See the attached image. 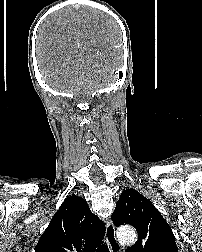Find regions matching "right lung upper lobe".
Listing matches in <instances>:
<instances>
[{
  "label": "right lung upper lobe",
  "mask_w": 202,
  "mask_h": 252,
  "mask_svg": "<svg viewBox=\"0 0 202 252\" xmlns=\"http://www.w3.org/2000/svg\"><path fill=\"white\" fill-rule=\"evenodd\" d=\"M105 234V226L86 201L66 198L41 236L35 252H94Z\"/></svg>",
  "instance_id": "cb5924a9"
}]
</instances>
